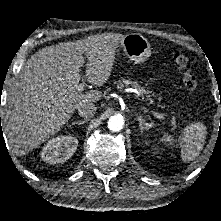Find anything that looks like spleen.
Segmentation results:
<instances>
[{
    "label": "spleen",
    "instance_id": "spleen-1",
    "mask_svg": "<svg viewBox=\"0 0 221 221\" xmlns=\"http://www.w3.org/2000/svg\"><path fill=\"white\" fill-rule=\"evenodd\" d=\"M206 134V126L202 122H194L185 127L179 139L175 140L171 135L164 134L161 142L180 147L182 161L189 162L199 156L205 143Z\"/></svg>",
    "mask_w": 221,
    "mask_h": 221
}]
</instances>
